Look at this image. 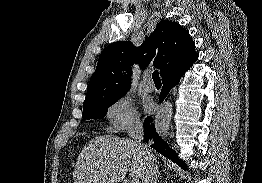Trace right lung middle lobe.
Segmentation results:
<instances>
[{
    "instance_id": "obj_1",
    "label": "right lung middle lobe",
    "mask_w": 262,
    "mask_h": 183,
    "mask_svg": "<svg viewBox=\"0 0 262 183\" xmlns=\"http://www.w3.org/2000/svg\"><path fill=\"white\" fill-rule=\"evenodd\" d=\"M125 93L90 101L83 104L82 117L84 119H101L103 118L108 110V107L117 102Z\"/></svg>"
}]
</instances>
